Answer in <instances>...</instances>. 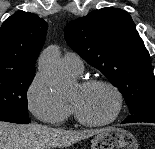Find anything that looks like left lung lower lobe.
I'll return each instance as SVG.
<instances>
[{"instance_id":"left-lung-lower-lobe-1","label":"left lung lower lobe","mask_w":155,"mask_h":149,"mask_svg":"<svg viewBox=\"0 0 155 149\" xmlns=\"http://www.w3.org/2000/svg\"><path fill=\"white\" fill-rule=\"evenodd\" d=\"M136 122L155 123V104L149 106L143 112L128 116L122 124Z\"/></svg>"}]
</instances>
